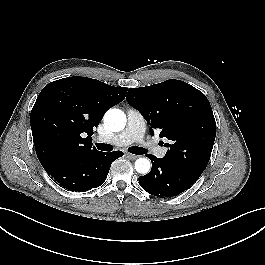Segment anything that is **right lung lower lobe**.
Listing matches in <instances>:
<instances>
[{
	"label": "right lung lower lobe",
	"mask_w": 265,
	"mask_h": 265,
	"mask_svg": "<svg viewBox=\"0 0 265 265\" xmlns=\"http://www.w3.org/2000/svg\"><path fill=\"white\" fill-rule=\"evenodd\" d=\"M121 156H123L122 151L111 153L99 151L55 163L45 170L65 189L85 192L102 185L112 162Z\"/></svg>",
	"instance_id": "98d812e1"
}]
</instances>
